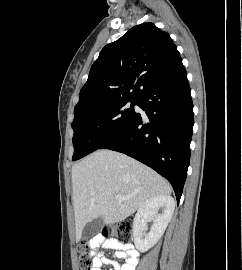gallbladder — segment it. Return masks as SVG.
I'll use <instances>...</instances> for the list:
<instances>
[{"label":"gallbladder","mask_w":242,"mask_h":270,"mask_svg":"<svg viewBox=\"0 0 242 270\" xmlns=\"http://www.w3.org/2000/svg\"><path fill=\"white\" fill-rule=\"evenodd\" d=\"M104 226V220L101 217H97L88 222L82 232L83 238L87 239L98 233Z\"/></svg>","instance_id":"obj_1"}]
</instances>
